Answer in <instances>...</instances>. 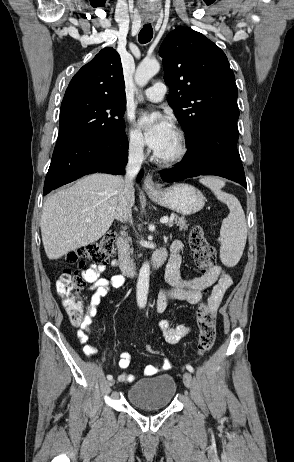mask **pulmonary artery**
I'll use <instances>...</instances> for the list:
<instances>
[{"label":"pulmonary artery","instance_id":"pulmonary-artery-1","mask_svg":"<svg viewBox=\"0 0 294 462\" xmlns=\"http://www.w3.org/2000/svg\"><path fill=\"white\" fill-rule=\"evenodd\" d=\"M167 91V87L162 82H156L151 87L145 89V97L152 102H159L163 100Z\"/></svg>","mask_w":294,"mask_h":462}]
</instances>
